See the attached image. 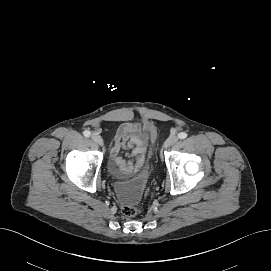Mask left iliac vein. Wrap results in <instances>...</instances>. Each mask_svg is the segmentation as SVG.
<instances>
[{"instance_id": "1", "label": "left iliac vein", "mask_w": 271, "mask_h": 271, "mask_svg": "<svg viewBox=\"0 0 271 271\" xmlns=\"http://www.w3.org/2000/svg\"><path fill=\"white\" fill-rule=\"evenodd\" d=\"M178 142V137L175 136V135H172L170 136L166 141H165V144H164V147L165 148H168L170 146H173L174 144H176Z\"/></svg>"}]
</instances>
